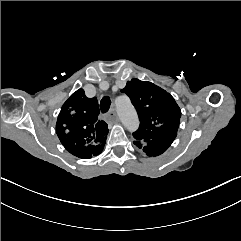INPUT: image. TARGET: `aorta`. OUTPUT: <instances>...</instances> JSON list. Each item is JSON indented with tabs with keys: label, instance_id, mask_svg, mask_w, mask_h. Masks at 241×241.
Here are the masks:
<instances>
[{
	"label": "aorta",
	"instance_id": "obj_1",
	"mask_svg": "<svg viewBox=\"0 0 241 241\" xmlns=\"http://www.w3.org/2000/svg\"><path fill=\"white\" fill-rule=\"evenodd\" d=\"M118 115L129 131H135L138 128V117L135 109L129 100L118 99L116 102Z\"/></svg>",
	"mask_w": 241,
	"mask_h": 241
}]
</instances>
